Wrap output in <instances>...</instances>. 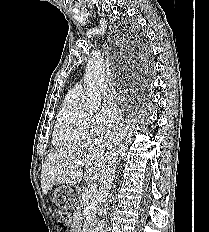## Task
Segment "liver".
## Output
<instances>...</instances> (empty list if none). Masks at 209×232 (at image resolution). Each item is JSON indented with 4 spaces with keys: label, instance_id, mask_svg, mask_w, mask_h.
I'll return each mask as SVG.
<instances>
[{
    "label": "liver",
    "instance_id": "6515ba94",
    "mask_svg": "<svg viewBox=\"0 0 209 232\" xmlns=\"http://www.w3.org/2000/svg\"><path fill=\"white\" fill-rule=\"evenodd\" d=\"M118 140L108 141L105 137L87 139L67 145L57 151L48 154L41 172V188L46 195L53 185H74L81 181L83 170L75 161H84L86 181L97 180L101 182V176L107 165L115 157H118Z\"/></svg>",
    "mask_w": 209,
    "mask_h": 232
}]
</instances>
